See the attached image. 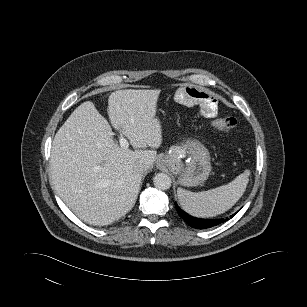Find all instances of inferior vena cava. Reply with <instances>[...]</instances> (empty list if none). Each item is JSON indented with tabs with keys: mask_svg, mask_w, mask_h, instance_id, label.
Instances as JSON below:
<instances>
[{
	"mask_svg": "<svg viewBox=\"0 0 307 307\" xmlns=\"http://www.w3.org/2000/svg\"><path fill=\"white\" fill-rule=\"evenodd\" d=\"M145 169H146V166L144 163H138L135 165V170L138 172V173H141L143 174L145 172Z\"/></svg>",
	"mask_w": 307,
	"mask_h": 307,
	"instance_id": "obj_1",
	"label": "inferior vena cava"
}]
</instances>
